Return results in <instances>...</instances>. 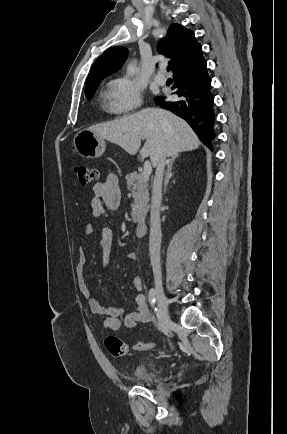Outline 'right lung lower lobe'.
Returning a JSON list of instances; mask_svg holds the SVG:
<instances>
[{"instance_id":"obj_1","label":"right lung lower lobe","mask_w":287,"mask_h":434,"mask_svg":"<svg viewBox=\"0 0 287 434\" xmlns=\"http://www.w3.org/2000/svg\"><path fill=\"white\" fill-rule=\"evenodd\" d=\"M177 95L172 101H165L164 97H156L155 101L163 108L171 110L183 118L196 132L201 141L211 146L215 134L213 124L214 98L210 92L211 78L207 74L206 61L202 52L187 66L174 74Z\"/></svg>"}]
</instances>
